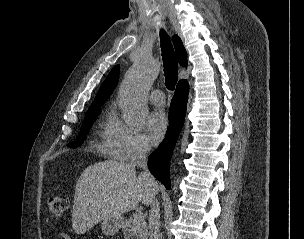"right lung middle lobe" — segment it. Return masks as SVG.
I'll return each instance as SVG.
<instances>
[{
    "label": "right lung middle lobe",
    "instance_id": "1",
    "mask_svg": "<svg viewBox=\"0 0 304 239\" xmlns=\"http://www.w3.org/2000/svg\"><path fill=\"white\" fill-rule=\"evenodd\" d=\"M101 109L100 107L97 108H89L85 114V119L83 121L81 131L77 137V139L68 144L69 147L75 148L80 146L87 137V133L89 128L92 126L94 121L96 120L97 116L99 115Z\"/></svg>",
    "mask_w": 304,
    "mask_h": 239
}]
</instances>
